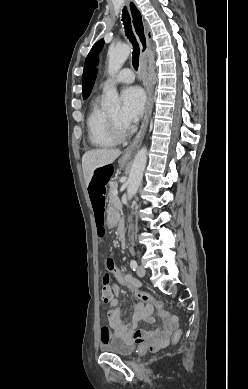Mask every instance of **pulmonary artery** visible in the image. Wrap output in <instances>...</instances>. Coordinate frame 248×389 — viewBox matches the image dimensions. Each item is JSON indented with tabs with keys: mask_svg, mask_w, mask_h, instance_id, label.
Wrapping results in <instances>:
<instances>
[{
	"mask_svg": "<svg viewBox=\"0 0 248 389\" xmlns=\"http://www.w3.org/2000/svg\"><path fill=\"white\" fill-rule=\"evenodd\" d=\"M135 75L133 71L129 68L122 69L115 77L105 81L103 83V88L108 87L111 84L117 83H131L134 81Z\"/></svg>",
	"mask_w": 248,
	"mask_h": 389,
	"instance_id": "obj_1",
	"label": "pulmonary artery"
}]
</instances>
